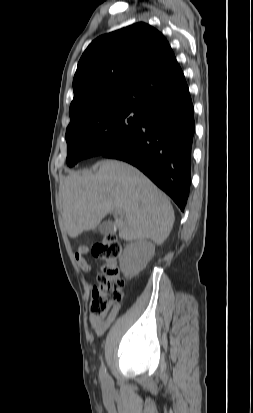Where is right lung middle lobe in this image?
I'll return each mask as SVG.
<instances>
[{"label":"right lung middle lobe","instance_id":"1","mask_svg":"<svg viewBox=\"0 0 253 413\" xmlns=\"http://www.w3.org/2000/svg\"><path fill=\"white\" fill-rule=\"evenodd\" d=\"M144 109L117 106L87 113L70 122L66 130L67 165L101 155L137 130L143 122Z\"/></svg>","mask_w":253,"mask_h":413}]
</instances>
